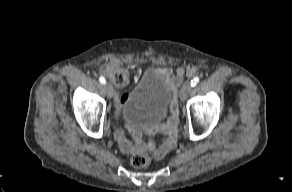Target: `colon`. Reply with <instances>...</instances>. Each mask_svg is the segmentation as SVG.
I'll return each mask as SVG.
<instances>
[{"instance_id":"colon-1","label":"colon","mask_w":292,"mask_h":192,"mask_svg":"<svg viewBox=\"0 0 292 192\" xmlns=\"http://www.w3.org/2000/svg\"><path fill=\"white\" fill-rule=\"evenodd\" d=\"M104 72L117 87H124L128 84V71L119 65H109L104 68ZM153 154H136L131 158V164L137 169L145 168L150 164Z\"/></svg>"}]
</instances>
